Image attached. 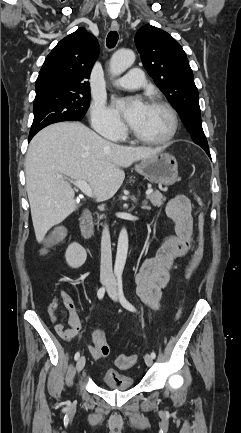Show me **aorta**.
Masks as SVG:
<instances>
[{
    "label": "aorta",
    "mask_w": 241,
    "mask_h": 433,
    "mask_svg": "<svg viewBox=\"0 0 241 433\" xmlns=\"http://www.w3.org/2000/svg\"><path fill=\"white\" fill-rule=\"evenodd\" d=\"M135 61V54L131 50L116 51L110 60V71L113 75L118 76L128 69ZM128 253V234L125 228H122L118 238L117 254L114 265V273L121 276L126 263Z\"/></svg>",
    "instance_id": "762f6f07"
}]
</instances>
